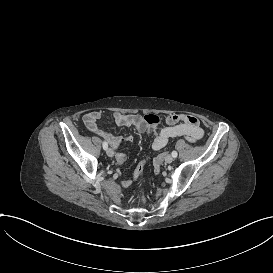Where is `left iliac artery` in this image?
Wrapping results in <instances>:
<instances>
[{
	"instance_id": "obj_1",
	"label": "left iliac artery",
	"mask_w": 273,
	"mask_h": 273,
	"mask_svg": "<svg viewBox=\"0 0 273 273\" xmlns=\"http://www.w3.org/2000/svg\"><path fill=\"white\" fill-rule=\"evenodd\" d=\"M172 156H173L174 158H176V157H177V152H176V151H172Z\"/></svg>"
}]
</instances>
